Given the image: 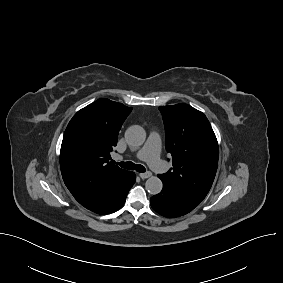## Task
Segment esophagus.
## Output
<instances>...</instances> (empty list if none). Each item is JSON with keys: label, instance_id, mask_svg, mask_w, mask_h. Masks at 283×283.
Segmentation results:
<instances>
[{"label": "esophagus", "instance_id": "obj_1", "mask_svg": "<svg viewBox=\"0 0 283 283\" xmlns=\"http://www.w3.org/2000/svg\"><path fill=\"white\" fill-rule=\"evenodd\" d=\"M139 176H140L142 179H146V178L151 177V176H152V173H151V172L140 173Z\"/></svg>", "mask_w": 283, "mask_h": 283}]
</instances>
